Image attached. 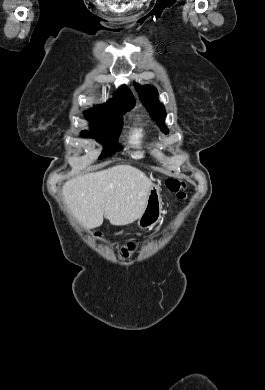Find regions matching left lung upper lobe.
Here are the masks:
<instances>
[{"instance_id":"5c2ea615","label":"left lung upper lobe","mask_w":265,"mask_h":390,"mask_svg":"<svg viewBox=\"0 0 265 390\" xmlns=\"http://www.w3.org/2000/svg\"><path fill=\"white\" fill-rule=\"evenodd\" d=\"M136 90L139 93L141 102L150 113L151 117L156 120L157 125L161 127V130L168 133V129L165 126L166 111L163 104L158 99V92L155 87L150 85L141 86L134 83Z\"/></svg>"}]
</instances>
